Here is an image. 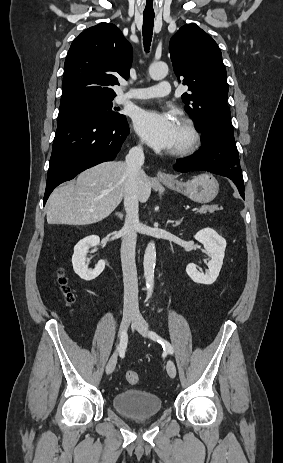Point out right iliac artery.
<instances>
[{
	"label": "right iliac artery",
	"mask_w": 283,
	"mask_h": 463,
	"mask_svg": "<svg viewBox=\"0 0 283 463\" xmlns=\"http://www.w3.org/2000/svg\"><path fill=\"white\" fill-rule=\"evenodd\" d=\"M127 342H128L127 333H126V331H123L122 334H121V340H120V347H119L120 351H124L126 349Z\"/></svg>",
	"instance_id": "obj_1"
}]
</instances>
